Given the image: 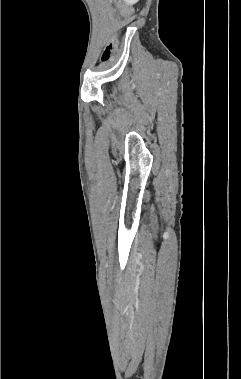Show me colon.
Segmentation results:
<instances>
[{
  "mask_svg": "<svg viewBox=\"0 0 241 379\" xmlns=\"http://www.w3.org/2000/svg\"><path fill=\"white\" fill-rule=\"evenodd\" d=\"M113 0H106V2L108 3H111ZM117 14L118 15H123V17H127L128 18V15H131L132 14V9L131 8H126L125 11L123 8H118L117 9ZM121 17V18H123ZM117 37L116 36H113L111 37V39L109 40L103 54H102V61L103 62H108L110 60H112L115 56V51H116V48H117Z\"/></svg>",
  "mask_w": 241,
  "mask_h": 379,
  "instance_id": "5ec220e1",
  "label": "colon"
}]
</instances>
